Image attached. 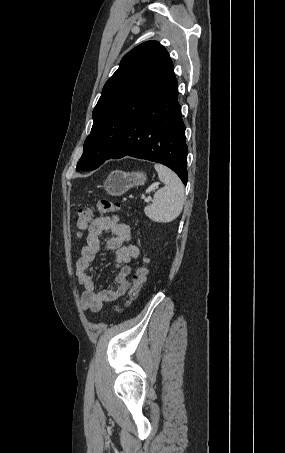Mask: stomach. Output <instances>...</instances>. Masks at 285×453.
<instances>
[{"mask_svg": "<svg viewBox=\"0 0 285 453\" xmlns=\"http://www.w3.org/2000/svg\"><path fill=\"white\" fill-rule=\"evenodd\" d=\"M147 176L144 172L112 171L104 182V189L111 196H121L135 186L144 185Z\"/></svg>", "mask_w": 285, "mask_h": 453, "instance_id": "stomach-1", "label": "stomach"}]
</instances>
